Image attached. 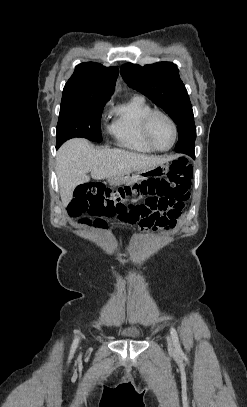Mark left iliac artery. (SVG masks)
<instances>
[{"instance_id":"44dca946","label":"left iliac artery","mask_w":247,"mask_h":407,"mask_svg":"<svg viewBox=\"0 0 247 407\" xmlns=\"http://www.w3.org/2000/svg\"><path fill=\"white\" fill-rule=\"evenodd\" d=\"M170 333H171V337L173 339V343H174L176 351L182 352V349H181L180 344H179V339H178V334H177L176 329L174 327H171Z\"/></svg>"}]
</instances>
